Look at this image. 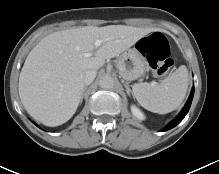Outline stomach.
Instances as JSON below:
<instances>
[{
	"label": "stomach",
	"instance_id": "1",
	"mask_svg": "<svg viewBox=\"0 0 219 174\" xmlns=\"http://www.w3.org/2000/svg\"><path fill=\"white\" fill-rule=\"evenodd\" d=\"M146 65L145 58L136 47L127 49V51L120 55L117 62L119 74L127 82L142 76L145 72Z\"/></svg>",
	"mask_w": 219,
	"mask_h": 174
}]
</instances>
